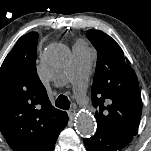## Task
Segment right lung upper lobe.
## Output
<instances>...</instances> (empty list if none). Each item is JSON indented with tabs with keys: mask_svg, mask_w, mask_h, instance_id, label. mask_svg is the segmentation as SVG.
<instances>
[{
	"mask_svg": "<svg viewBox=\"0 0 151 151\" xmlns=\"http://www.w3.org/2000/svg\"><path fill=\"white\" fill-rule=\"evenodd\" d=\"M37 42V32L22 36L0 68V129L14 151H54L68 121L37 75Z\"/></svg>",
	"mask_w": 151,
	"mask_h": 151,
	"instance_id": "1",
	"label": "right lung upper lobe"
}]
</instances>
